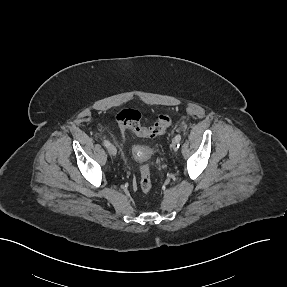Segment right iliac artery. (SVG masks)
<instances>
[{"label": "right iliac artery", "instance_id": "obj_1", "mask_svg": "<svg viewBox=\"0 0 287 287\" xmlns=\"http://www.w3.org/2000/svg\"><path fill=\"white\" fill-rule=\"evenodd\" d=\"M104 146L108 147L110 145V142L108 140L103 141Z\"/></svg>", "mask_w": 287, "mask_h": 287}]
</instances>
